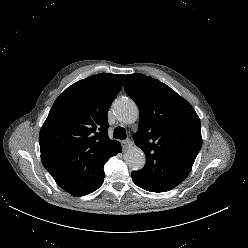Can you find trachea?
Here are the masks:
<instances>
[{"label":"trachea","instance_id":"obj_1","mask_svg":"<svg viewBox=\"0 0 248 248\" xmlns=\"http://www.w3.org/2000/svg\"><path fill=\"white\" fill-rule=\"evenodd\" d=\"M113 137L116 139H126V131L123 127H117L114 130Z\"/></svg>","mask_w":248,"mask_h":248}]
</instances>
